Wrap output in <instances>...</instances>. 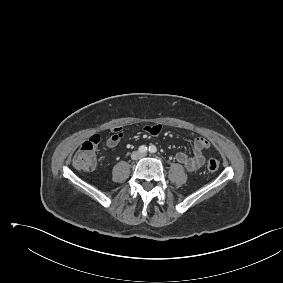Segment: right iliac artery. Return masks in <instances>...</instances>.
<instances>
[{
	"mask_svg": "<svg viewBox=\"0 0 283 283\" xmlns=\"http://www.w3.org/2000/svg\"><path fill=\"white\" fill-rule=\"evenodd\" d=\"M139 152H141V153L147 152V146H145V145L140 146L139 147Z\"/></svg>",
	"mask_w": 283,
	"mask_h": 283,
	"instance_id": "right-iliac-artery-1",
	"label": "right iliac artery"
}]
</instances>
